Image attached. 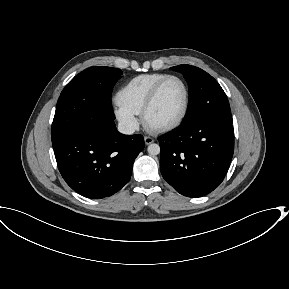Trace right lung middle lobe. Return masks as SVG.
<instances>
[{"mask_svg": "<svg viewBox=\"0 0 289 289\" xmlns=\"http://www.w3.org/2000/svg\"><path fill=\"white\" fill-rule=\"evenodd\" d=\"M122 71L105 66H92L75 76L58 99L51 137L55 142L87 123L115 119L111 93Z\"/></svg>", "mask_w": 289, "mask_h": 289, "instance_id": "right-lung-middle-lobe-1", "label": "right lung middle lobe"}]
</instances>
